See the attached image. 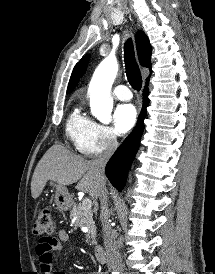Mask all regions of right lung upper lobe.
<instances>
[{
    "label": "right lung upper lobe",
    "mask_w": 215,
    "mask_h": 274,
    "mask_svg": "<svg viewBox=\"0 0 215 274\" xmlns=\"http://www.w3.org/2000/svg\"><path fill=\"white\" fill-rule=\"evenodd\" d=\"M136 45L141 65L144 67H150L152 48L147 36L142 31H138L136 34ZM88 60L89 56L87 55L75 65L72 75L70 77L67 93H70L76 86L79 78L84 73L85 68L87 67Z\"/></svg>",
    "instance_id": "right-lung-upper-lobe-1"
}]
</instances>
